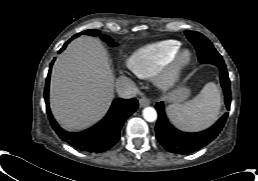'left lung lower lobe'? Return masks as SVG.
<instances>
[{
  "instance_id": "0a47b994",
  "label": "left lung lower lobe",
  "mask_w": 258,
  "mask_h": 181,
  "mask_svg": "<svg viewBox=\"0 0 258 181\" xmlns=\"http://www.w3.org/2000/svg\"><path fill=\"white\" fill-rule=\"evenodd\" d=\"M220 69V82L225 95V104L230 108L231 89L227 69L224 65H217ZM158 120L156 123V138L169 152L176 154H189L199 150L213 141L221 132L228 113H225L212 127L198 133H186L175 129L167 120L163 102L156 104Z\"/></svg>"
}]
</instances>
